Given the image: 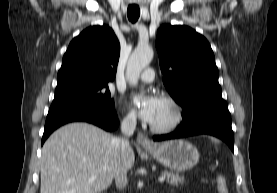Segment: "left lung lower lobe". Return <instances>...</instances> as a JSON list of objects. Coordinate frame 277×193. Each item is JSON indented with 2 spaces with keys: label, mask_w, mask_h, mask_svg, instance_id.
Instances as JSON below:
<instances>
[{
  "label": "left lung lower lobe",
  "mask_w": 277,
  "mask_h": 193,
  "mask_svg": "<svg viewBox=\"0 0 277 193\" xmlns=\"http://www.w3.org/2000/svg\"><path fill=\"white\" fill-rule=\"evenodd\" d=\"M198 134H209L224 140L234 149V133L231 128V115L226 101L222 98L207 99L197 103L183 114L178 129L170 134L156 135L154 141L182 138Z\"/></svg>",
  "instance_id": "0a47b994"
}]
</instances>
